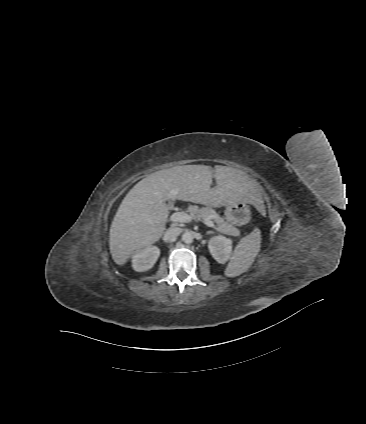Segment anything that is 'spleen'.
<instances>
[{
	"instance_id": "3e777b00",
	"label": "spleen",
	"mask_w": 366,
	"mask_h": 424,
	"mask_svg": "<svg viewBox=\"0 0 366 424\" xmlns=\"http://www.w3.org/2000/svg\"><path fill=\"white\" fill-rule=\"evenodd\" d=\"M261 247V232L258 228L243 237L235 247L225 269V275L236 277L246 272L253 263Z\"/></svg>"
}]
</instances>
